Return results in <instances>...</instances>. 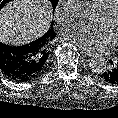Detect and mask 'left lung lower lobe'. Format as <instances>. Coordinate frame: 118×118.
<instances>
[{"label":"left lung lower lobe","instance_id":"obj_1","mask_svg":"<svg viewBox=\"0 0 118 118\" xmlns=\"http://www.w3.org/2000/svg\"><path fill=\"white\" fill-rule=\"evenodd\" d=\"M107 62L108 67L99 76L108 83L118 84V54Z\"/></svg>","mask_w":118,"mask_h":118}]
</instances>
